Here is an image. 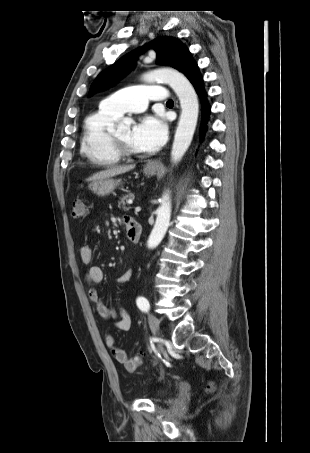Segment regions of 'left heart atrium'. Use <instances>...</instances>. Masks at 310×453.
<instances>
[{
	"label": "left heart atrium",
	"instance_id": "obj_1",
	"mask_svg": "<svg viewBox=\"0 0 310 453\" xmlns=\"http://www.w3.org/2000/svg\"><path fill=\"white\" fill-rule=\"evenodd\" d=\"M167 137V125L158 116H145L132 129L134 145L142 151H153L162 146Z\"/></svg>",
	"mask_w": 310,
	"mask_h": 453
}]
</instances>
